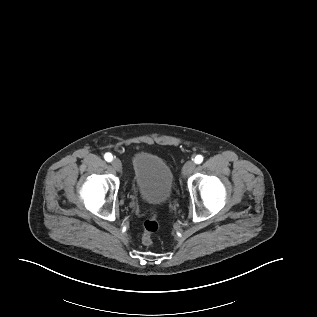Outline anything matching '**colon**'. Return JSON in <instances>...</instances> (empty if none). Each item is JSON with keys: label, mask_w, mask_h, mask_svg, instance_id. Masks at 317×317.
Listing matches in <instances>:
<instances>
[{"label": "colon", "mask_w": 317, "mask_h": 317, "mask_svg": "<svg viewBox=\"0 0 317 317\" xmlns=\"http://www.w3.org/2000/svg\"><path fill=\"white\" fill-rule=\"evenodd\" d=\"M158 229V221L156 213H153L149 219L144 223V231L142 241L145 245L149 246L153 244V234Z\"/></svg>", "instance_id": "1"}]
</instances>
